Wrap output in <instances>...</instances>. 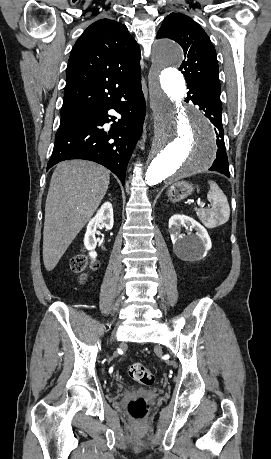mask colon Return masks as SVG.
I'll list each match as a JSON object with an SVG mask.
<instances>
[{
	"label": "colon",
	"instance_id": "1",
	"mask_svg": "<svg viewBox=\"0 0 271 459\" xmlns=\"http://www.w3.org/2000/svg\"><path fill=\"white\" fill-rule=\"evenodd\" d=\"M71 3H77L78 0H70ZM71 269L74 273L81 275V280L85 279V272L95 270L98 263L91 260L84 252L74 256L71 259ZM130 377L144 385H151L154 382V376L151 371L142 363L135 362L129 367ZM127 410L129 415L136 421H141L145 418L148 412V404L142 397L131 400L128 403Z\"/></svg>",
	"mask_w": 271,
	"mask_h": 459
}]
</instances>
